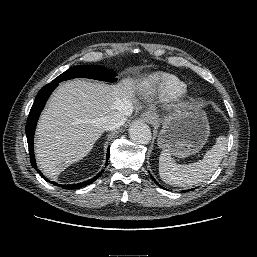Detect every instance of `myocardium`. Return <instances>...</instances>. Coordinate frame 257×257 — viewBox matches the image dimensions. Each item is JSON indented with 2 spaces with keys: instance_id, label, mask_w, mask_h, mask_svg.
I'll list each match as a JSON object with an SVG mask.
<instances>
[{
  "instance_id": "f54148a6",
  "label": "myocardium",
  "mask_w": 257,
  "mask_h": 257,
  "mask_svg": "<svg viewBox=\"0 0 257 257\" xmlns=\"http://www.w3.org/2000/svg\"><path fill=\"white\" fill-rule=\"evenodd\" d=\"M177 103L185 109L191 108L194 104V98L187 94H180L177 98Z\"/></svg>"
}]
</instances>
